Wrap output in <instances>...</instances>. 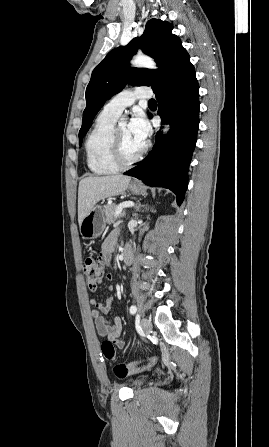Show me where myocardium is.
Segmentation results:
<instances>
[{
	"instance_id": "obj_1",
	"label": "myocardium",
	"mask_w": 269,
	"mask_h": 447,
	"mask_svg": "<svg viewBox=\"0 0 269 447\" xmlns=\"http://www.w3.org/2000/svg\"><path fill=\"white\" fill-rule=\"evenodd\" d=\"M148 143H145V146L141 153L137 155L135 158L131 160H126L124 158L123 149L120 144V141L118 139L117 135V128H113L111 137H110V150H111V157L113 162L119 167V168H127L130 167L137 162H139L143 156L146 154L148 150Z\"/></svg>"
}]
</instances>
